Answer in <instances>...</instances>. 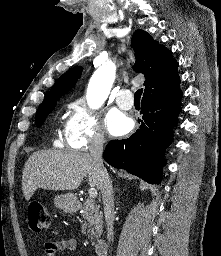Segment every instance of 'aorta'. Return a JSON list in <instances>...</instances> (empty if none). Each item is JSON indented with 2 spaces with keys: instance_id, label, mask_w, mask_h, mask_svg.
<instances>
[{
  "instance_id": "1",
  "label": "aorta",
  "mask_w": 221,
  "mask_h": 256,
  "mask_svg": "<svg viewBox=\"0 0 221 256\" xmlns=\"http://www.w3.org/2000/svg\"><path fill=\"white\" fill-rule=\"evenodd\" d=\"M115 80V66L108 62L92 75L87 89V103L90 108H99L107 99Z\"/></svg>"
}]
</instances>
